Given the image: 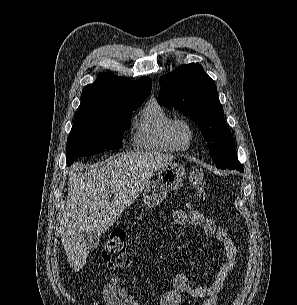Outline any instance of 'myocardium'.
<instances>
[{"instance_id": "myocardium-1", "label": "myocardium", "mask_w": 297, "mask_h": 305, "mask_svg": "<svg viewBox=\"0 0 297 305\" xmlns=\"http://www.w3.org/2000/svg\"><path fill=\"white\" fill-rule=\"evenodd\" d=\"M180 128L186 132L185 137L180 136ZM170 136L178 149H188L194 139V127L190 121L184 118H175L170 124Z\"/></svg>"}]
</instances>
